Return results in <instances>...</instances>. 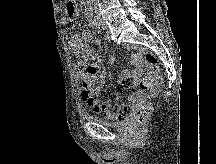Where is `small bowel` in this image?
<instances>
[{
    "label": "small bowel",
    "instance_id": "1",
    "mask_svg": "<svg viewBox=\"0 0 216 164\" xmlns=\"http://www.w3.org/2000/svg\"><path fill=\"white\" fill-rule=\"evenodd\" d=\"M85 42L79 34H74L70 41V49L78 55L74 61V66L77 72L78 78L82 81L81 97L83 101L97 113H102L111 120H121L125 118L130 109L137 103L138 97L132 96L129 104L126 105H112L111 100L100 102L97 96L103 91L106 80L105 76H100L99 85H95L97 81V73L100 68L101 57L98 53L93 52L90 43L93 41V35L90 31H84L83 33ZM89 60L88 70H83L81 67L85 66V63ZM132 64L135 68L132 71H123L118 76V81L122 83L127 79L137 81L143 72L142 65V51H137L132 57Z\"/></svg>",
    "mask_w": 216,
    "mask_h": 164
}]
</instances>
